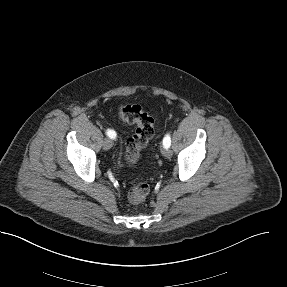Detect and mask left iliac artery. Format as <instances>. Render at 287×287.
<instances>
[{
  "label": "left iliac artery",
  "mask_w": 287,
  "mask_h": 287,
  "mask_svg": "<svg viewBox=\"0 0 287 287\" xmlns=\"http://www.w3.org/2000/svg\"><path fill=\"white\" fill-rule=\"evenodd\" d=\"M171 145V137L169 134L165 135V137L163 138V146L165 148H169Z\"/></svg>",
  "instance_id": "44dca946"
}]
</instances>
